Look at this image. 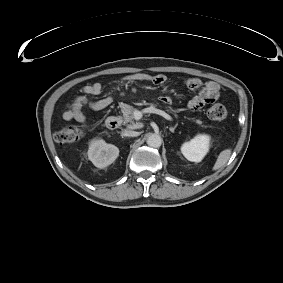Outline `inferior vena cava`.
<instances>
[{"instance_id":"inferior-vena-cava-1","label":"inferior vena cava","mask_w":283,"mask_h":283,"mask_svg":"<svg viewBox=\"0 0 283 283\" xmlns=\"http://www.w3.org/2000/svg\"><path fill=\"white\" fill-rule=\"evenodd\" d=\"M123 134L125 136H129V137H136L139 135V132H136V131H133V130H130V129H125Z\"/></svg>"}]
</instances>
